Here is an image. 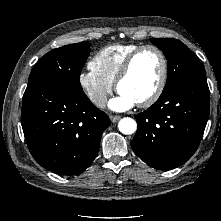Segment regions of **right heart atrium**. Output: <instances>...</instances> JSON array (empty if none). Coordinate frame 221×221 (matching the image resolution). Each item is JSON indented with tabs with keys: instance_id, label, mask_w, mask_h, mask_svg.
Listing matches in <instances>:
<instances>
[{
	"instance_id": "1",
	"label": "right heart atrium",
	"mask_w": 221,
	"mask_h": 221,
	"mask_svg": "<svg viewBox=\"0 0 221 221\" xmlns=\"http://www.w3.org/2000/svg\"><path fill=\"white\" fill-rule=\"evenodd\" d=\"M78 82L87 98L97 107H102L112 93L114 85L98 75L91 67L79 74Z\"/></svg>"
}]
</instances>
